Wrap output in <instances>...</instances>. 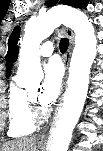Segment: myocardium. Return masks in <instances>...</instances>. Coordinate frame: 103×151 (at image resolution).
Listing matches in <instances>:
<instances>
[{
	"instance_id": "obj_1",
	"label": "myocardium",
	"mask_w": 103,
	"mask_h": 151,
	"mask_svg": "<svg viewBox=\"0 0 103 151\" xmlns=\"http://www.w3.org/2000/svg\"><path fill=\"white\" fill-rule=\"evenodd\" d=\"M30 103L33 104L31 106L32 117L36 123H41L45 121L48 117V112L44 109H41L38 106L34 105L35 98L33 95L29 94Z\"/></svg>"
}]
</instances>
